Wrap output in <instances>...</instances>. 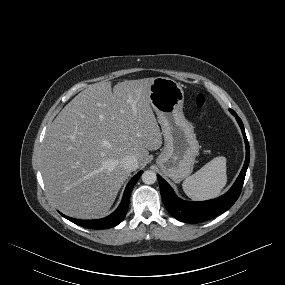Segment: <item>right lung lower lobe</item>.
<instances>
[{
	"label": "right lung lower lobe",
	"instance_id": "obj_1",
	"mask_svg": "<svg viewBox=\"0 0 285 285\" xmlns=\"http://www.w3.org/2000/svg\"><path fill=\"white\" fill-rule=\"evenodd\" d=\"M142 173H143V171L138 172L132 178V180L128 183V185L126 186L121 204L119 205L117 210L115 212H113L111 215H109L103 219H98V220H78V219L67 217L63 214H62V216L65 217L66 219L72 221L73 223H75L77 225H80V226L85 227V228H91V229H107V228H111V227L118 225L124 219V217L127 213L131 191H132L134 185L136 184L139 176Z\"/></svg>",
	"mask_w": 285,
	"mask_h": 285
}]
</instances>
